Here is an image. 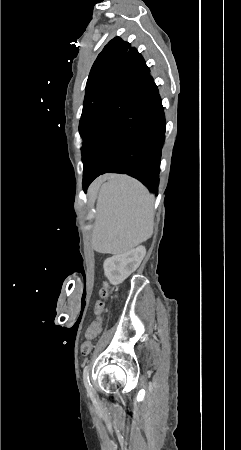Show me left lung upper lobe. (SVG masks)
<instances>
[{"instance_id": "obj_1", "label": "left lung upper lobe", "mask_w": 241, "mask_h": 450, "mask_svg": "<svg viewBox=\"0 0 241 450\" xmlns=\"http://www.w3.org/2000/svg\"><path fill=\"white\" fill-rule=\"evenodd\" d=\"M131 57L130 44L116 37L95 60L87 80L79 123L83 144L97 117L117 99Z\"/></svg>"}]
</instances>
